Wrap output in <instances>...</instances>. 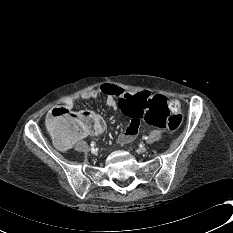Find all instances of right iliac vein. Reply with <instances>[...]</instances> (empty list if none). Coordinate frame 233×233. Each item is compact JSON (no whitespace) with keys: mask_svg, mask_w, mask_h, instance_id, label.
Listing matches in <instances>:
<instances>
[{"mask_svg":"<svg viewBox=\"0 0 233 233\" xmlns=\"http://www.w3.org/2000/svg\"><path fill=\"white\" fill-rule=\"evenodd\" d=\"M91 153L96 154L97 150L96 149H91Z\"/></svg>","mask_w":233,"mask_h":233,"instance_id":"right-iliac-vein-1","label":"right iliac vein"}]
</instances>
